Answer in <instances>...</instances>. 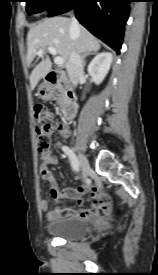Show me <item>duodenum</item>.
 Segmentation results:
<instances>
[{
    "label": "duodenum",
    "instance_id": "duodenum-1",
    "mask_svg": "<svg viewBox=\"0 0 158 275\" xmlns=\"http://www.w3.org/2000/svg\"><path fill=\"white\" fill-rule=\"evenodd\" d=\"M61 79V72L49 71L45 77V82L47 85L46 91L51 92L54 89V87L60 84ZM66 97V103L62 108L63 118L65 121H71L72 119H74L77 112V102L74 91H67Z\"/></svg>",
    "mask_w": 158,
    "mask_h": 275
}]
</instances>
